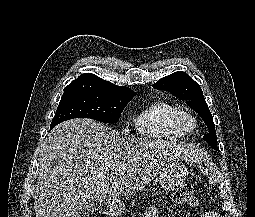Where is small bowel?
I'll return each mask as SVG.
<instances>
[{
	"label": "small bowel",
	"instance_id": "obj_1",
	"mask_svg": "<svg viewBox=\"0 0 255 217\" xmlns=\"http://www.w3.org/2000/svg\"><path fill=\"white\" fill-rule=\"evenodd\" d=\"M144 217H159L158 209L155 206H150L146 209ZM200 217H221L218 212L206 211Z\"/></svg>",
	"mask_w": 255,
	"mask_h": 217
}]
</instances>
